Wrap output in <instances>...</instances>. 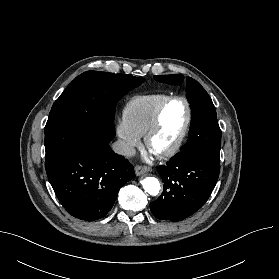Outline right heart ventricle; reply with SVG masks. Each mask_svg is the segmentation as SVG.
<instances>
[{
	"label": "right heart ventricle",
	"instance_id": "e07e8e85",
	"mask_svg": "<svg viewBox=\"0 0 279 279\" xmlns=\"http://www.w3.org/2000/svg\"><path fill=\"white\" fill-rule=\"evenodd\" d=\"M169 94L152 93L132 97L124 108V117L140 135H145L159 106L169 98Z\"/></svg>",
	"mask_w": 279,
	"mask_h": 279
}]
</instances>
